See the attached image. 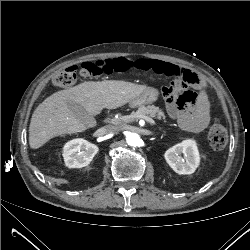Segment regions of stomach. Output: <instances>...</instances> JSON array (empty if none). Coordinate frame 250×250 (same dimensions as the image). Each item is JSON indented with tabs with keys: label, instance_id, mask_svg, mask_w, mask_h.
Wrapping results in <instances>:
<instances>
[{
	"label": "stomach",
	"instance_id": "1",
	"mask_svg": "<svg viewBox=\"0 0 250 250\" xmlns=\"http://www.w3.org/2000/svg\"><path fill=\"white\" fill-rule=\"evenodd\" d=\"M159 92L155 88H147L139 96L129 102L131 107H139L146 104H151L158 99Z\"/></svg>",
	"mask_w": 250,
	"mask_h": 250
}]
</instances>
